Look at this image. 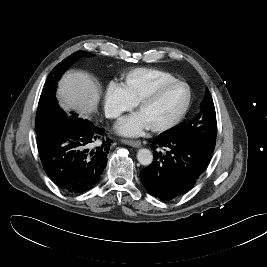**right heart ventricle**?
<instances>
[{
	"instance_id": "e07e8e85",
	"label": "right heart ventricle",
	"mask_w": 267,
	"mask_h": 267,
	"mask_svg": "<svg viewBox=\"0 0 267 267\" xmlns=\"http://www.w3.org/2000/svg\"><path fill=\"white\" fill-rule=\"evenodd\" d=\"M123 87L129 98L138 100L161 83L176 79L172 74L154 68H135L122 75Z\"/></svg>"
}]
</instances>
